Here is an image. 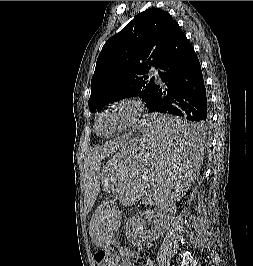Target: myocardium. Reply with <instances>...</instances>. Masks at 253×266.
<instances>
[{
	"label": "myocardium",
	"mask_w": 253,
	"mask_h": 266,
	"mask_svg": "<svg viewBox=\"0 0 253 266\" xmlns=\"http://www.w3.org/2000/svg\"><path fill=\"white\" fill-rule=\"evenodd\" d=\"M117 107H125L129 110V116H128L127 121L125 122V124L120 129H118L116 132L112 133L111 135L100 134L98 131V125H99L100 118L102 117V115L105 112H107L113 108H117ZM144 110H145V105L140 98L135 97V96L121 97V98L107 104L106 106H104L99 111L97 118H96V121H95L96 133L100 137H103V138L115 137V136L121 134L122 132L126 131L130 127H132L139 120V118L143 115Z\"/></svg>",
	"instance_id": "myocardium-1"
}]
</instances>
